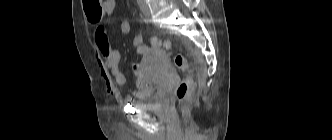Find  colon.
Listing matches in <instances>:
<instances>
[{
    "label": "colon",
    "instance_id": "obj_1",
    "mask_svg": "<svg viewBox=\"0 0 332 140\" xmlns=\"http://www.w3.org/2000/svg\"><path fill=\"white\" fill-rule=\"evenodd\" d=\"M102 2L103 0H83L84 10L87 17L92 20H100L102 13ZM115 29L119 35H128L131 30L130 22L127 20H122L116 25ZM151 44L156 47H170V43L168 41H162L157 38H152ZM174 64L180 70H185L187 68V61L180 54L174 57ZM192 88L193 85L189 79H183L177 86L176 96L183 110H186L193 102Z\"/></svg>",
    "mask_w": 332,
    "mask_h": 140
}]
</instances>
